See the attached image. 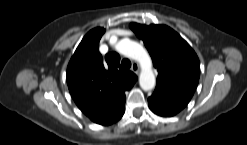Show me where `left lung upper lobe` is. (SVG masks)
<instances>
[{
	"mask_svg": "<svg viewBox=\"0 0 247 145\" xmlns=\"http://www.w3.org/2000/svg\"><path fill=\"white\" fill-rule=\"evenodd\" d=\"M158 70L157 86L191 98L197 87L200 63L194 50L173 29L165 25L132 23Z\"/></svg>",
	"mask_w": 247,
	"mask_h": 145,
	"instance_id": "left-lung-upper-lobe-1",
	"label": "left lung upper lobe"
}]
</instances>
